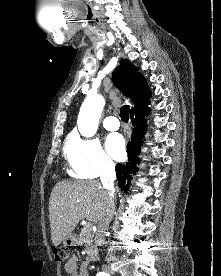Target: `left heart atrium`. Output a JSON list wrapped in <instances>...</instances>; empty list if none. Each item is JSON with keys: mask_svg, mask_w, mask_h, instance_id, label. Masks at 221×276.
<instances>
[{"mask_svg": "<svg viewBox=\"0 0 221 276\" xmlns=\"http://www.w3.org/2000/svg\"><path fill=\"white\" fill-rule=\"evenodd\" d=\"M106 147L109 154L117 160L125 156V141L119 134H111L107 137Z\"/></svg>", "mask_w": 221, "mask_h": 276, "instance_id": "obj_1", "label": "left heart atrium"}]
</instances>
